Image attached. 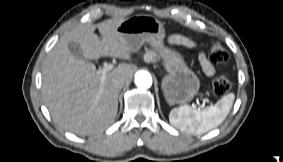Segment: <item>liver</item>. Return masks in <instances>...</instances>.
Wrapping results in <instances>:
<instances>
[{
	"mask_svg": "<svg viewBox=\"0 0 283 162\" xmlns=\"http://www.w3.org/2000/svg\"><path fill=\"white\" fill-rule=\"evenodd\" d=\"M124 19H109L97 25L77 26L66 32L47 54L42 66V95L53 121L62 129L78 135L100 132L115 121L120 88L116 79L131 82L136 65L131 49L115 31ZM98 28L101 36L94 34ZM69 42L80 45L87 59L117 57L120 63L104 80L93 63L76 58Z\"/></svg>",
	"mask_w": 283,
	"mask_h": 162,
	"instance_id": "1",
	"label": "liver"
}]
</instances>
